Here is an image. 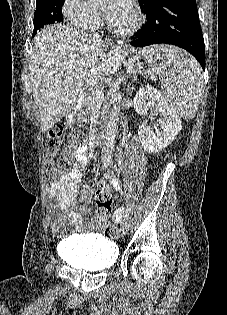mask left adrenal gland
Returning a JSON list of instances; mask_svg holds the SVG:
<instances>
[{"mask_svg": "<svg viewBox=\"0 0 227 315\" xmlns=\"http://www.w3.org/2000/svg\"><path fill=\"white\" fill-rule=\"evenodd\" d=\"M136 78H137V70L133 72V79H132V81H135ZM131 89H132V88H131ZM129 91H130V90L128 89V92H129Z\"/></svg>", "mask_w": 227, "mask_h": 315, "instance_id": "left-adrenal-gland-1", "label": "left adrenal gland"}]
</instances>
